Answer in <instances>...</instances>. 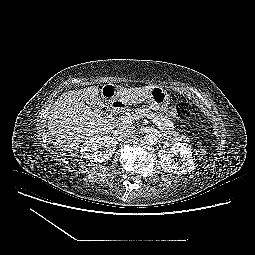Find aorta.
I'll return each mask as SVG.
<instances>
[{"instance_id":"1","label":"aorta","mask_w":255,"mask_h":255,"mask_svg":"<svg viewBox=\"0 0 255 255\" xmlns=\"http://www.w3.org/2000/svg\"><path fill=\"white\" fill-rule=\"evenodd\" d=\"M144 141L147 145H154L157 142V137L155 134L149 133L144 136Z\"/></svg>"}]
</instances>
